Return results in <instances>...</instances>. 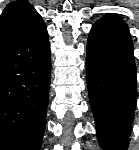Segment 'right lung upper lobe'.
I'll return each mask as SVG.
<instances>
[{
  "mask_svg": "<svg viewBox=\"0 0 139 150\" xmlns=\"http://www.w3.org/2000/svg\"><path fill=\"white\" fill-rule=\"evenodd\" d=\"M33 9V6L25 0H18L9 3L0 16V28L8 25L12 21L24 15L26 12Z\"/></svg>",
  "mask_w": 139,
  "mask_h": 150,
  "instance_id": "1",
  "label": "right lung upper lobe"
}]
</instances>
